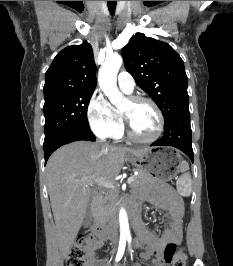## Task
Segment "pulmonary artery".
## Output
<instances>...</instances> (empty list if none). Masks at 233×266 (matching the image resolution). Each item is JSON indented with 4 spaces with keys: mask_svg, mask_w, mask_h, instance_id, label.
Segmentation results:
<instances>
[{
    "mask_svg": "<svg viewBox=\"0 0 233 266\" xmlns=\"http://www.w3.org/2000/svg\"><path fill=\"white\" fill-rule=\"evenodd\" d=\"M117 82L119 88L125 93L130 94L134 91L135 81L130 73L126 71L120 72Z\"/></svg>",
    "mask_w": 233,
    "mask_h": 266,
    "instance_id": "pulmonary-artery-1",
    "label": "pulmonary artery"
}]
</instances>
